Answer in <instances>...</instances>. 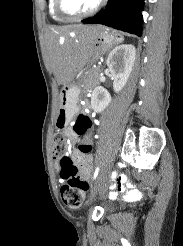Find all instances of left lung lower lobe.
Returning <instances> with one entry per match:
<instances>
[{"mask_svg":"<svg viewBox=\"0 0 183 246\" xmlns=\"http://www.w3.org/2000/svg\"><path fill=\"white\" fill-rule=\"evenodd\" d=\"M144 0H108L105 9L100 10L83 23L103 24L137 36L142 34L143 17L141 11Z\"/></svg>","mask_w":183,"mask_h":246,"instance_id":"0a47b994","label":"left lung lower lobe"}]
</instances>
